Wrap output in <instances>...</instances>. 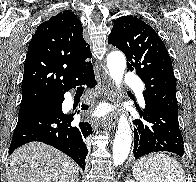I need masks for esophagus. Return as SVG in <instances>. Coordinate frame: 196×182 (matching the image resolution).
Listing matches in <instances>:
<instances>
[{"label":"esophagus","instance_id":"obj_1","mask_svg":"<svg viewBox=\"0 0 196 182\" xmlns=\"http://www.w3.org/2000/svg\"><path fill=\"white\" fill-rule=\"evenodd\" d=\"M101 81H102L101 90L104 97L109 99L110 101H114L113 86L107 72L101 73ZM116 118H117L116 112L110 113L103 121V128L112 129Z\"/></svg>","mask_w":196,"mask_h":182}]
</instances>
